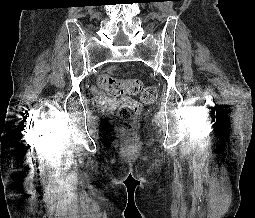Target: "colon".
I'll return each instance as SVG.
<instances>
[{"instance_id":"colon-1","label":"colon","mask_w":255,"mask_h":218,"mask_svg":"<svg viewBox=\"0 0 255 218\" xmlns=\"http://www.w3.org/2000/svg\"><path fill=\"white\" fill-rule=\"evenodd\" d=\"M100 86L111 96L121 98L122 104L118 110V117L122 129L128 130L141 111V105L132 98L142 92L141 99L144 103H152L157 98V90L153 86L145 89L138 79L119 80L108 76L101 77Z\"/></svg>"}]
</instances>
